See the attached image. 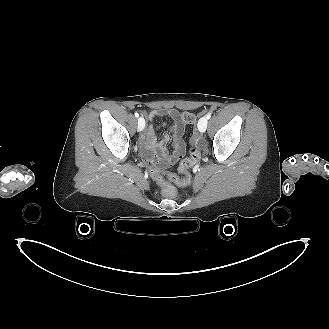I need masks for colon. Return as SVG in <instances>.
<instances>
[{"instance_id": "obj_1", "label": "colon", "mask_w": 329, "mask_h": 329, "mask_svg": "<svg viewBox=\"0 0 329 329\" xmlns=\"http://www.w3.org/2000/svg\"><path fill=\"white\" fill-rule=\"evenodd\" d=\"M181 119L186 124H193L196 121V115L192 112L185 111L181 114ZM200 159V150L197 147H192L189 150L188 157L182 160L178 165V173H171L169 170L164 168H155L152 170L151 175L154 181L159 182L163 190L161 196L165 200H171L176 202L179 200V193L174 190V183L180 186H186L191 181L189 173L192 168Z\"/></svg>"}]
</instances>
